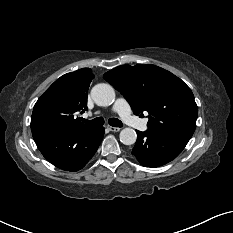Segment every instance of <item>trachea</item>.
Returning <instances> with one entry per match:
<instances>
[{
	"mask_svg": "<svg viewBox=\"0 0 233 233\" xmlns=\"http://www.w3.org/2000/svg\"><path fill=\"white\" fill-rule=\"evenodd\" d=\"M88 126L99 127L104 124V119L102 117L95 118L93 120L82 119ZM109 124L113 127H122V122L116 118L109 119Z\"/></svg>",
	"mask_w": 233,
	"mask_h": 233,
	"instance_id": "trachea-1",
	"label": "trachea"
}]
</instances>
